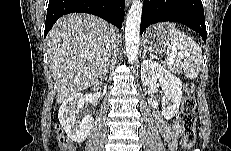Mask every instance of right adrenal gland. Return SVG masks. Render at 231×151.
<instances>
[{
	"instance_id": "1",
	"label": "right adrenal gland",
	"mask_w": 231,
	"mask_h": 151,
	"mask_svg": "<svg viewBox=\"0 0 231 151\" xmlns=\"http://www.w3.org/2000/svg\"><path fill=\"white\" fill-rule=\"evenodd\" d=\"M109 64H110V62L108 61V62H107V65H106V68H105L104 75H105L106 73H108V66H109Z\"/></svg>"
}]
</instances>
